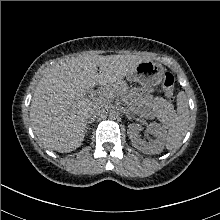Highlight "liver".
I'll return each mask as SVG.
<instances>
[{"instance_id": "obj_1", "label": "liver", "mask_w": 220, "mask_h": 220, "mask_svg": "<svg viewBox=\"0 0 220 220\" xmlns=\"http://www.w3.org/2000/svg\"><path fill=\"white\" fill-rule=\"evenodd\" d=\"M142 61L136 55H81L52 65L38 82L30 106L38 139L62 153L81 146L90 109L104 105V94L117 92L122 79ZM95 85L100 86L98 97L91 100L86 92Z\"/></svg>"}]
</instances>
